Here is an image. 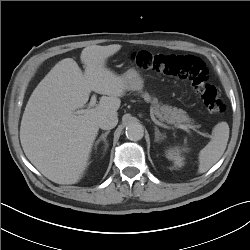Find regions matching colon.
<instances>
[{
  "mask_svg": "<svg viewBox=\"0 0 250 250\" xmlns=\"http://www.w3.org/2000/svg\"><path fill=\"white\" fill-rule=\"evenodd\" d=\"M136 64L166 76L190 82L207 110L214 115L225 111L217 88L208 83V71L204 62L194 55H177L138 51L133 56Z\"/></svg>",
  "mask_w": 250,
  "mask_h": 250,
  "instance_id": "5ec220e1",
  "label": "colon"
}]
</instances>
